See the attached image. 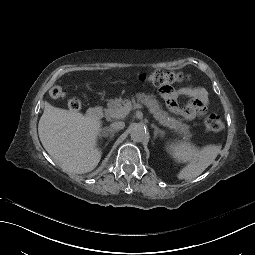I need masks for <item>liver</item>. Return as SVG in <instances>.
<instances>
[{
	"label": "liver",
	"instance_id": "1",
	"mask_svg": "<svg viewBox=\"0 0 255 255\" xmlns=\"http://www.w3.org/2000/svg\"><path fill=\"white\" fill-rule=\"evenodd\" d=\"M44 105L38 133L45 150L66 171H92L101 159V151L96 148L101 122L48 102Z\"/></svg>",
	"mask_w": 255,
	"mask_h": 255
}]
</instances>
